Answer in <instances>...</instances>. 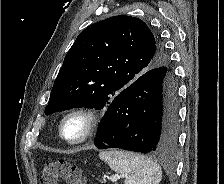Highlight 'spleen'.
Masks as SVG:
<instances>
[{
  "instance_id": "3e777b00",
  "label": "spleen",
  "mask_w": 224,
  "mask_h": 184,
  "mask_svg": "<svg viewBox=\"0 0 224 184\" xmlns=\"http://www.w3.org/2000/svg\"><path fill=\"white\" fill-rule=\"evenodd\" d=\"M101 160L110 168L125 176L124 184H159L162 169L153 160L138 153L128 151H101Z\"/></svg>"
}]
</instances>
